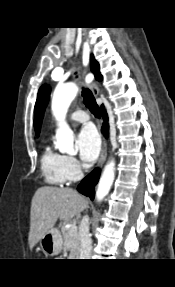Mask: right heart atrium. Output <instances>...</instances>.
<instances>
[{
    "mask_svg": "<svg viewBox=\"0 0 175 287\" xmlns=\"http://www.w3.org/2000/svg\"><path fill=\"white\" fill-rule=\"evenodd\" d=\"M63 171L66 180H75L81 174V164L75 157L65 155L63 159Z\"/></svg>",
    "mask_w": 175,
    "mask_h": 287,
    "instance_id": "obj_1",
    "label": "right heart atrium"
}]
</instances>
